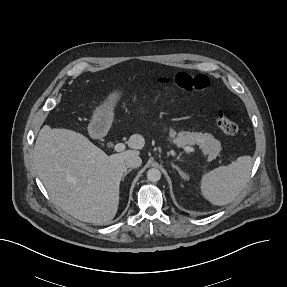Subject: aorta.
Segmentation results:
<instances>
[{
    "label": "aorta",
    "instance_id": "aorta-1",
    "mask_svg": "<svg viewBox=\"0 0 287 287\" xmlns=\"http://www.w3.org/2000/svg\"><path fill=\"white\" fill-rule=\"evenodd\" d=\"M161 178V172L157 168H151L147 171V179L151 182H157Z\"/></svg>",
    "mask_w": 287,
    "mask_h": 287
}]
</instances>
